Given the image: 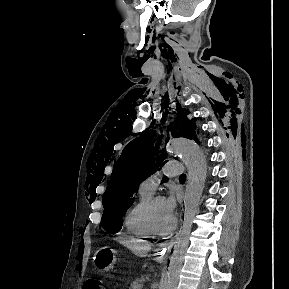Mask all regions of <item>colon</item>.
<instances>
[{"label": "colon", "mask_w": 289, "mask_h": 289, "mask_svg": "<svg viewBox=\"0 0 289 289\" xmlns=\"http://www.w3.org/2000/svg\"><path fill=\"white\" fill-rule=\"evenodd\" d=\"M84 289H104V288L99 280L91 279L86 282Z\"/></svg>", "instance_id": "5ec220e1"}]
</instances>
